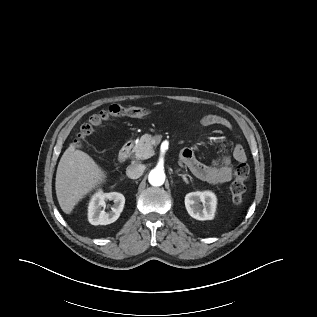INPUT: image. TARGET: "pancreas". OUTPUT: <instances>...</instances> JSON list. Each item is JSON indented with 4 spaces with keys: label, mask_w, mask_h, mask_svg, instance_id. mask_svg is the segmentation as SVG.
<instances>
[{
    "label": "pancreas",
    "mask_w": 317,
    "mask_h": 317,
    "mask_svg": "<svg viewBox=\"0 0 317 317\" xmlns=\"http://www.w3.org/2000/svg\"><path fill=\"white\" fill-rule=\"evenodd\" d=\"M153 138L150 134H144L133 146L132 152L136 159H147L154 154Z\"/></svg>",
    "instance_id": "pancreas-1"
}]
</instances>
